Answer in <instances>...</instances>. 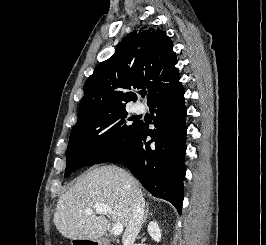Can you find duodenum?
Here are the masks:
<instances>
[{"mask_svg": "<svg viewBox=\"0 0 266 245\" xmlns=\"http://www.w3.org/2000/svg\"><path fill=\"white\" fill-rule=\"evenodd\" d=\"M75 245H110L104 237H74Z\"/></svg>", "mask_w": 266, "mask_h": 245, "instance_id": "obj_1", "label": "duodenum"}]
</instances>
